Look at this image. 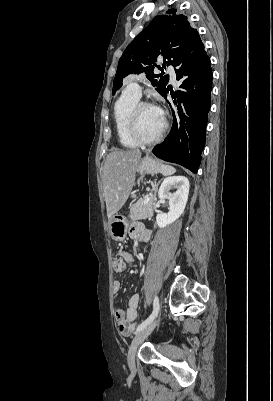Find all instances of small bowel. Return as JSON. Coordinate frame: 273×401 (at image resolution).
<instances>
[{"label": "small bowel", "instance_id": "small-bowel-1", "mask_svg": "<svg viewBox=\"0 0 273 401\" xmlns=\"http://www.w3.org/2000/svg\"><path fill=\"white\" fill-rule=\"evenodd\" d=\"M150 231L140 226H133L129 230L130 237L135 239H143L145 236H148ZM135 265L136 259L135 257L128 251L123 249H118L115 253L113 259V270L115 273H123L126 269V266ZM121 282L119 280H114L112 284V291L114 293H118L121 290ZM140 306V295L138 293H133L127 303V307L125 310L121 308H117L114 313L116 329L119 333L123 335H129L136 324L138 313Z\"/></svg>", "mask_w": 273, "mask_h": 401}]
</instances>
